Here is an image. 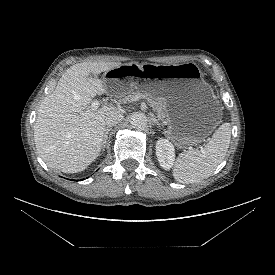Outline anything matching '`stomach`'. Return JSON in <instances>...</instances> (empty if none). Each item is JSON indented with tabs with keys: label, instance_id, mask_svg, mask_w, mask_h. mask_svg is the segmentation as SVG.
<instances>
[{
	"label": "stomach",
	"instance_id": "obj_1",
	"mask_svg": "<svg viewBox=\"0 0 275 275\" xmlns=\"http://www.w3.org/2000/svg\"><path fill=\"white\" fill-rule=\"evenodd\" d=\"M107 90L124 95L133 89L166 102V135L177 147L195 146L212 133L222 118L211 86L194 62L128 63L106 71Z\"/></svg>",
	"mask_w": 275,
	"mask_h": 275
}]
</instances>
